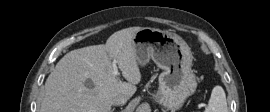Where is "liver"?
<instances>
[{"mask_svg":"<svg viewBox=\"0 0 270 112\" xmlns=\"http://www.w3.org/2000/svg\"><path fill=\"white\" fill-rule=\"evenodd\" d=\"M141 29H122L106 44L67 53L45 82L40 112H110L113 98H131L141 81L134 47V36ZM114 62L128 82L113 74Z\"/></svg>","mask_w":270,"mask_h":112,"instance_id":"6515ba94","label":"liver"}]
</instances>
